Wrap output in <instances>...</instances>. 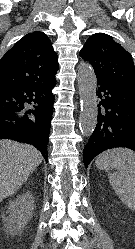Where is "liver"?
Segmentation results:
<instances>
[{"mask_svg":"<svg viewBox=\"0 0 135 249\" xmlns=\"http://www.w3.org/2000/svg\"><path fill=\"white\" fill-rule=\"evenodd\" d=\"M33 146L0 140V201L14 194L42 162Z\"/></svg>","mask_w":135,"mask_h":249,"instance_id":"6515ba94","label":"liver"}]
</instances>
